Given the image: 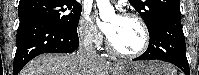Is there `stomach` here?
<instances>
[{"label": "stomach", "mask_w": 199, "mask_h": 75, "mask_svg": "<svg viewBox=\"0 0 199 75\" xmlns=\"http://www.w3.org/2000/svg\"><path fill=\"white\" fill-rule=\"evenodd\" d=\"M164 67L169 65L161 62H134L116 68L114 75H172V71L167 73ZM171 69V68H170Z\"/></svg>", "instance_id": "0dacf381"}]
</instances>
